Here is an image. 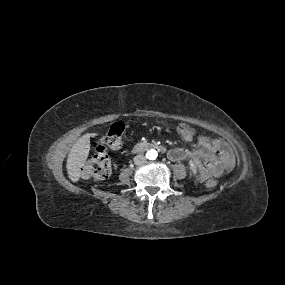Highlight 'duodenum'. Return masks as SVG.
<instances>
[{
  "instance_id": "1",
  "label": "duodenum",
  "mask_w": 285,
  "mask_h": 285,
  "mask_svg": "<svg viewBox=\"0 0 285 285\" xmlns=\"http://www.w3.org/2000/svg\"><path fill=\"white\" fill-rule=\"evenodd\" d=\"M151 148H155V149H158L160 151L165 150V147L162 145L153 144V143H140L133 148V151H145V150H148Z\"/></svg>"
}]
</instances>
